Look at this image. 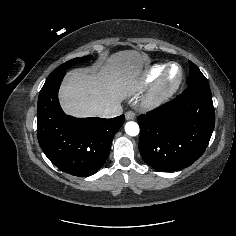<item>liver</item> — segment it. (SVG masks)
Instances as JSON below:
<instances>
[{
    "mask_svg": "<svg viewBox=\"0 0 236 236\" xmlns=\"http://www.w3.org/2000/svg\"><path fill=\"white\" fill-rule=\"evenodd\" d=\"M141 56L120 51L93 70L69 72L59 92L64 112L74 117L101 116L104 109L120 104L133 89Z\"/></svg>",
    "mask_w": 236,
    "mask_h": 236,
    "instance_id": "obj_1",
    "label": "liver"
}]
</instances>
